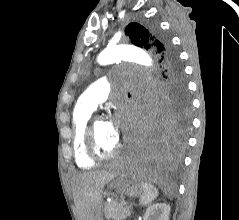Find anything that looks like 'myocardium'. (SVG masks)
Listing matches in <instances>:
<instances>
[{
  "label": "myocardium",
  "mask_w": 239,
  "mask_h": 220,
  "mask_svg": "<svg viewBox=\"0 0 239 220\" xmlns=\"http://www.w3.org/2000/svg\"><path fill=\"white\" fill-rule=\"evenodd\" d=\"M99 120H103L100 116H93L90 117L87 123L86 131H85V147L87 154L93 159V160H108L113 157H115L120 150L122 149V143L118 142L116 147L108 152V153H102L98 149L97 143H96V137H95V123Z\"/></svg>",
  "instance_id": "myocardium-1"
}]
</instances>
